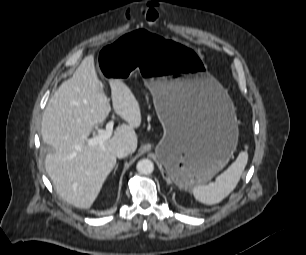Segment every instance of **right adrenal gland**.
Here are the masks:
<instances>
[{
  "instance_id": "right-adrenal-gland-1",
  "label": "right adrenal gland",
  "mask_w": 306,
  "mask_h": 255,
  "mask_svg": "<svg viewBox=\"0 0 306 255\" xmlns=\"http://www.w3.org/2000/svg\"><path fill=\"white\" fill-rule=\"evenodd\" d=\"M117 168H118V164L115 166L113 174H115Z\"/></svg>"
}]
</instances>
